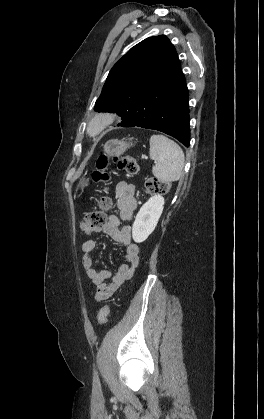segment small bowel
Returning <instances> with one entry per match:
<instances>
[{
	"label": "small bowel",
	"instance_id": "1",
	"mask_svg": "<svg viewBox=\"0 0 264 419\" xmlns=\"http://www.w3.org/2000/svg\"><path fill=\"white\" fill-rule=\"evenodd\" d=\"M114 193L119 214L109 215L102 230L117 244L125 248V263L119 266L115 274L107 269H97L93 267L97 242L89 239L82 244V263L89 279L96 287L95 299L98 302L109 299L126 280L131 278L139 264V246L132 239L131 226H121L122 222L130 221L133 218L134 210L137 207L135 187L126 181H119L115 186Z\"/></svg>",
	"mask_w": 264,
	"mask_h": 419
}]
</instances>
